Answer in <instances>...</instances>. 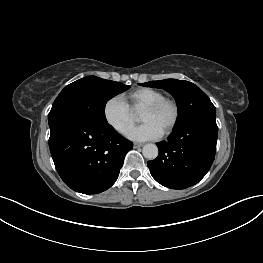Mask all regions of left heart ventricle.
Returning <instances> with one entry per match:
<instances>
[{
  "label": "left heart ventricle",
  "mask_w": 263,
  "mask_h": 263,
  "mask_svg": "<svg viewBox=\"0 0 263 263\" xmlns=\"http://www.w3.org/2000/svg\"><path fill=\"white\" fill-rule=\"evenodd\" d=\"M172 111L169 107H164L157 111H151L144 109L141 114V120L143 122L152 121L155 122L163 130L166 127L167 123L171 119Z\"/></svg>",
  "instance_id": "left-heart-ventricle-1"
}]
</instances>
